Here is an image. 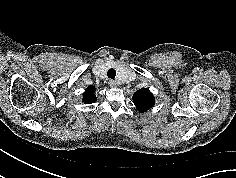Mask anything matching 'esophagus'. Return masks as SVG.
<instances>
[{
    "label": "esophagus",
    "mask_w": 236,
    "mask_h": 178,
    "mask_svg": "<svg viewBox=\"0 0 236 178\" xmlns=\"http://www.w3.org/2000/svg\"><path fill=\"white\" fill-rule=\"evenodd\" d=\"M109 85H110V87H112V88L118 87V83H117L116 81H114V80H110V81H109Z\"/></svg>",
    "instance_id": "1"
}]
</instances>
